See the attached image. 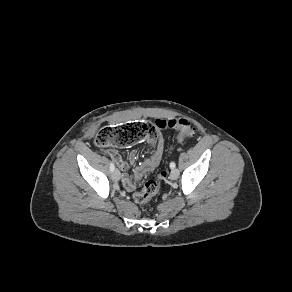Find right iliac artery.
I'll return each mask as SVG.
<instances>
[{
	"label": "right iliac artery",
	"mask_w": 292,
	"mask_h": 292,
	"mask_svg": "<svg viewBox=\"0 0 292 292\" xmlns=\"http://www.w3.org/2000/svg\"><path fill=\"white\" fill-rule=\"evenodd\" d=\"M115 169L114 163L111 161L110 162V170L113 172Z\"/></svg>",
	"instance_id": "82829eb1"
}]
</instances>
